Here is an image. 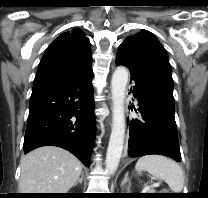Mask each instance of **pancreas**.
<instances>
[{"instance_id": "obj_1", "label": "pancreas", "mask_w": 208, "mask_h": 198, "mask_svg": "<svg viewBox=\"0 0 208 198\" xmlns=\"http://www.w3.org/2000/svg\"><path fill=\"white\" fill-rule=\"evenodd\" d=\"M149 193H154V189H149Z\"/></svg>"}]
</instances>
